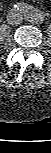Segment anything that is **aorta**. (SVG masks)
<instances>
[{
  "label": "aorta",
  "mask_w": 51,
  "mask_h": 153,
  "mask_svg": "<svg viewBox=\"0 0 51 153\" xmlns=\"http://www.w3.org/2000/svg\"><path fill=\"white\" fill-rule=\"evenodd\" d=\"M29 18H30V20H32V21H37V20H39V18H40V13H39V11H37V10H32V11H30V13H29Z\"/></svg>",
  "instance_id": "aorta-1"
}]
</instances>
